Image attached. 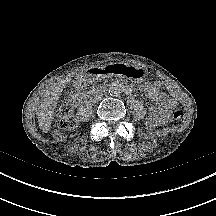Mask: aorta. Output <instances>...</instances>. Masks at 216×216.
Returning <instances> with one entry per match:
<instances>
[{
    "mask_svg": "<svg viewBox=\"0 0 216 216\" xmlns=\"http://www.w3.org/2000/svg\"><path fill=\"white\" fill-rule=\"evenodd\" d=\"M109 93L113 97H118L120 95V89L117 86H113L109 89Z\"/></svg>",
    "mask_w": 216,
    "mask_h": 216,
    "instance_id": "obj_1",
    "label": "aorta"
}]
</instances>
